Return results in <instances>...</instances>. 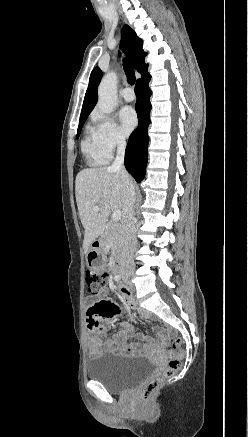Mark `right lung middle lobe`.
<instances>
[{"label":"right lung middle lobe","instance_id":"dd1d6c3e","mask_svg":"<svg viewBox=\"0 0 248 437\" xmlns=\"http://www.w3.org/2000/svg\"><path fill=\"white\" fill-rule=\"evenodd\" d=\"M86 119H87V117H85V118H83V119H81V120L79 121V126H78V130H77V138H78L79 135H80V132H81L82 126H83V124H84V122H85Z\"/></svg>","mask_w":248,"mask_h":437}]
</instances>
